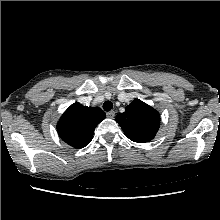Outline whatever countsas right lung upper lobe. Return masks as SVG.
I'll return each instance as SVG.
<instances>
[{
    "mask_svg": "<svg viewBox=\"0 0 220 220\" xmlns=\"http://www.w3.org/2000/svg\"><path fill=\"white\" fill-rule=\"evenodd\" d=\"M106 114L98 107L72 104L62 115L57 131L60 138L75 148H83L93 138L95 127L105 119Z\"/></svg>",
    "mask_w": 220,
    "mask_h": 220,
    "instance_id": "right-lung-upper-lobe-1",
    "label": "right lung upper lobe"
}]
</instances>
